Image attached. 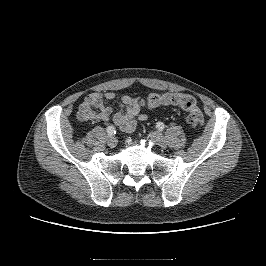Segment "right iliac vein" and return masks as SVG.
<instances>
[{
	"label": "right iliac vein",
	"instance_id": "63e3f726",
	"mask_svg": "<svg viewBox=\"0 0 266 266\" xmlns=\"http://www.w3.org/2000/svg\"><path fill=\"white\" fill-rule=\"evenodd\" d=\"M117 138L115 137V136H109L108 138H107V144L110 146V147H112V148H114V147H116V145H117Z\"/></svg>",
	"mask_w": 266,
	"mask_h": 266
}]
</instances>
